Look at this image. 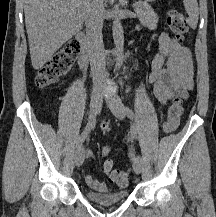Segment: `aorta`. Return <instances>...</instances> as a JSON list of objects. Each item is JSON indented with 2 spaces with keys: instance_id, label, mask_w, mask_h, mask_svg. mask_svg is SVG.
Listing matches in <instances>:
<instances>
[{
  "instance_id": "aorta-1",
  "label": "aorta",
  "mask_w": 216,
  "mask_h": 217,
  "mask_svg": "<svg viewBox=\"0 0 216 217\" xmlns=\"http://www.w3.org/2000/svg\"><path fill=\"white\" fill-rule=\"evenodd\" d=\"M114 44L116 47L117 64L116 68L120 69L124 56V32L121 21L115 18L112 25Z\"/></svg>"
}]
</instances>
